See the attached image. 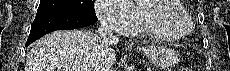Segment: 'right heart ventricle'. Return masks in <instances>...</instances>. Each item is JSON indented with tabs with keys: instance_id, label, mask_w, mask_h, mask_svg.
Here are the masks:
<instances>
[{
	"instance_id": "e07e8e85",
	"label": "right heart ventricle",
	"mask_w": 230,
	"mask_h": 71,
	"mask_svg": "<svg viewBox=\"0 0 230 71\" xmlns=\"http://www.w3.org/2000/svg\"><path fill=\"white\" fill-rule=\"evenodd\" d=\"M134 13L137 16H141V21L143 22L142 20V12L141 10H134ZM139 31H142L144 33H146L147 35H150V36H153V37H159L157 36L156 34H154L146 25L145 23H140V28H139ZM137 32V29L135 28L134 30H129L128 33L129 34H135ZM161 38V37H159Z\"/></svg>"
}]
</instances>
